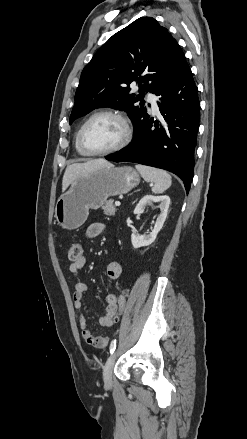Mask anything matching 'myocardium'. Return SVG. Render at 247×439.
<instances>
[{
  "label": "myocardium",
  "mask_w": 247,
  "mask_h": 439,
  "mask_svg": "<svg viewBox=\"0 0 247 439\" xmlns=\"http://www.w3.org/2000/svg\"><path fill=\"white\" fill-rule=\"evenodd\" d=\"M100 116H111V117L118 119L123 125L124 136L119 144H117L116 146H114L110 149H107L104 151H98V152L91 151L86 147V145L84 143V131H85L86 127L88 126V124L92 120H94L95 118L100 117ZM132 138H133V128H132V125H131L129 118L124 113H122L120 111L110 110V109L100 110L98 112L93 113L90 117H88L86 119V121L82 124V126L80 127V129L78 131L79 147L82 150V152L87 156H106V155L118 152V151L124 149L126 146H128L129 143L131 142Z\"/></svg>",
  "instance_id": "obj_1"
}]
</instances>
